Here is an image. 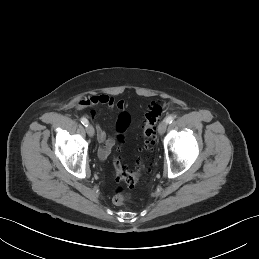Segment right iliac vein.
<instances>
[{"label":"right iliac vein","instance_id":"1","mask_svg":"<svg viewBox=\"0 0 259 259\" xmlns=\"http://www.w3.org/2000/svg\"><path fill=\"white\" fill-rule=\"evenodd\" d=\"M86 131H87V134H88L90 137H93V136H94L95 131H94V128H93L92 125L88 124V125L86 126Z\"/></svg>","mask_w":259,"mask_h":259}]
</instances>
